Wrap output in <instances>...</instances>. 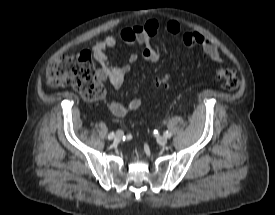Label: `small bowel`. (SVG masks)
I'll use <instances>...</instances> for the list:
<instances>
[{"instance_id":"1","label":"small bowel","mask_w":275,"mask_h":215,"mask_svg":"<svg viewBox=\"0 0 275 215\" xmlns=\"http://www.w3.org/2000/svg\"><path fill=\"white\" fill-rule=\"evenodd\" d=\"M180 24L173 19L166 23V31L171 35L180 33ZM159 31V23L155 19L147 20L142 24H135L121 29L120 39L127 45L140 47V55L132 53L129 56V63L121 67L112 66L106 55V51L114 49L118 45V40L114 36H106L103 40L96 43L93 47L94 58L98 64L97 76L104 82L111 84L114 88L119 89L130 72L131 65L136 63L141 57L148 63L156 64L160 59L161 48L155 43ZM183 43L191 48H202L204 53L214 62L221 63L223 58L218 48L207 38L195 31H187L182 36ZM141 100L135 98L131 100L128 106L117 101L109 102L110 112L117 116L123 117L129 110H136L140 107Z\"/></svg>"}]
</instances>
